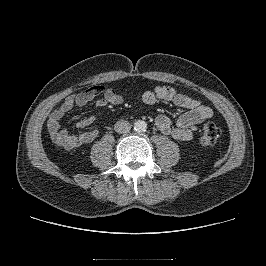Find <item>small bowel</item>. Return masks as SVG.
I'll return each instance as SVG.
<instances>
[{
	"label": "small bowel",
	"mask_w": 266,
	"mask_h": 266,
	"mask_svg": "<svg viewBox=\"0 0 266 266\" xmlns=\"http://www.w3.org/2000/svg\"><path fill=\"white\" fill-rule=\"evenodd\" d=\"M94 96H89L88 91L70 95L50 115L47 122V130L52 142L66 150L77 148L92 142L98 136V130L84 131L76 135L67 132L61 125L64 117L75 107L84 106ZM141 100L144 104L152 105L158 100L170 102L178 107L186 109L177 119L167 115H159L155 119V126L165 135H170L176 140L185 141L192 138L197 126L205 120L213 117V110L204 105L200 100L178 93L171 87L158 85L154 89L143 93ZM123 97L113 89H106L104 95L95 100L98 107L119 105ZM93 116H84L77 123V129H83L94 122Z\"/></svg>",
	"instance_id": "1"
}]
</instances>
